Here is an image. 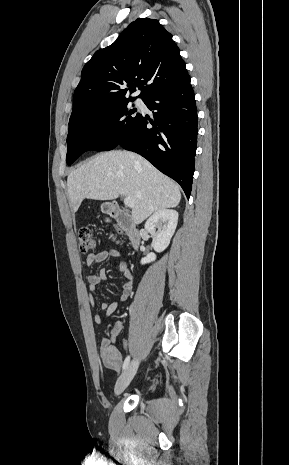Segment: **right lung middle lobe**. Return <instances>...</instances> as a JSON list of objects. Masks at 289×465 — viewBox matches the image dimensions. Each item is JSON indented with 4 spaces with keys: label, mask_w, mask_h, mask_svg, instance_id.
<instances>
[{
    "label": "right lung middle lobe",
    "mask_w": 289,
    "mask_h": 465,
    "mask_svg": "<svg viewBox=\"0 0 289 465\" xmlns=\"http://www.w3.org/2000/svg\"><path fill=\"white\" fill-rule=\"evenodd\" d=\"M134 100H102L82 105L77 121L68 130L67 164L71 165L86 150L115 148L142 116L131 108L129 102Z\"/></svg>",
    "instance_id": "obj_1"
}]
</instances>
